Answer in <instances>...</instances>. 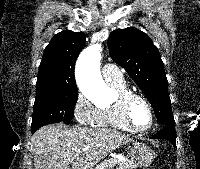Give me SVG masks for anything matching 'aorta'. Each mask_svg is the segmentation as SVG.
Masks as SVG:
<instances>
[{
  "instance_id": "obj_1",
  "label": "aorta",
  "mask_w": 200,
  "mask_h": 169,
  "mask_svg": "<svg viewBox=\"0 0 200 169\" xmlns=\"http://www.w3.org/2000/svg\"><path fill=\"white\" fill-rule=\"evenodd\" d=\"M101 51L100 44L87 47L81 52L76 64V80L81 92L96 103L109 92L100 74Z\"/></svg>"
}]
</instances>
